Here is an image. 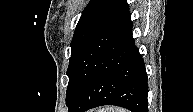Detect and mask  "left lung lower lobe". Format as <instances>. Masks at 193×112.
<instances>
[{"instance_id":"0a47b994","label":"left lung lower lobe","mask_w":193,"mask_h":112,"mask_svg":"<svg viewBox=\"0 0 193 112\" xmlns=\"http://www.w3.org/2000/svg\"><path fill=\"white\" fill-rule=\"evenodd\" d=\"M132 27L127 6L83 50L69 77V112L102 105L148 112L147 73Z\"/></svg>"}]
</instances>
